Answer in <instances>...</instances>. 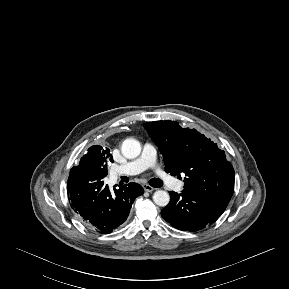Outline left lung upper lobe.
<instances>
[{
	"instance_id": "5c2ea615",
	"label": "left lung upper lobe",
	"mask_w": 289,
	"mask_h": 289,
	"mask_svg": "<svg viewBox=\"0 0 289 289\" xmlns=\"http://www.w3.org/2000/svg\"><path fill=\"white\" fill-rule=\"evenodd\" d=\"M144 127L164 157L165 171L173 176L185 174L184 190L228 205L234 191V169L217 144L176 121L147 122Z\"/></svg>"
}]
</instances>
